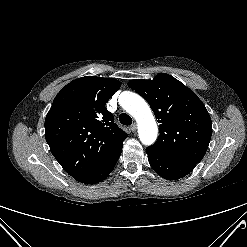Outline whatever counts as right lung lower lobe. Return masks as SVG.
Here are the masks:
<instances>
[{
  "label": "right lung lower lobe",
  "instance_id": "98d812e1",
  "mask_svg": "<svg viewBox=\"0 0 247 247\" xmlns=\"http://www.w3.org/2000/svg\"><path fill=\"white\" fill-rule=\"evenodd\" d=\"M121 151L122 149L115 153L106 162L95 168L93 171L76 180L86 184H95L103 181L113 170L114 166L116 165L119 159Z\"/></svg>",
  "mask_w": 247,
  "mask_h": 247
}]
</instances>
